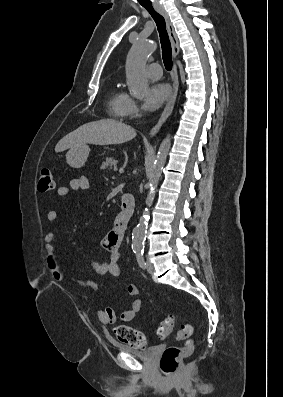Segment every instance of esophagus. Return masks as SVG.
Listing matches in <instances>:
<instances>
[{"label": "esophagus", "instance_id": "esophagus-1", "mask_svg": "<svg viewBox=\"0 0 283 397\" xmlns=\"http://www.w3.org/2000/svg\"><path fill=\"white\" fill-rule=\"evenodd\" d=\"M154 8L165 19L169 37H170V41H171V45H172V55H173V58L175 59L179 54V43H178V38L176 36L174 27L172 25V22L169 18L168 13L163 8V6L155 4ZM172 79H173V91H172L171 97L169 98L158 122L150 130L149 134L151 136L155 135L160 130L161 126L163 125V123L166 121V119L168 118V116L171 114V112L173 110V107H174V104H175V101L177 98V94H178V89H179V80H178V72H177L176 64H174V66H173Z\"/></svg>", "mask_w": 283, "mask_h": 397}]
</instances>
